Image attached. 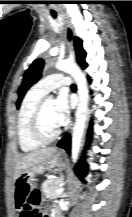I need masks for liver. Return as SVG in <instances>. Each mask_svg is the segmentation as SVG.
<instances>
[{"label": "liver", "instance_id": "liver-1", "mask_svg": "<svg viewBox=\"0 0 132 217\" xmlns=\"http://www.w3.org/2000/svg\"><path fill=\"white\" fill-rule=\"evenodd\" d=\"M57 153L56 148H42L20 156L15 164L14 180L32 166L45 163Z\"/></svg>", "mask_w": 132, "mask_h": 217}]
</instances>
